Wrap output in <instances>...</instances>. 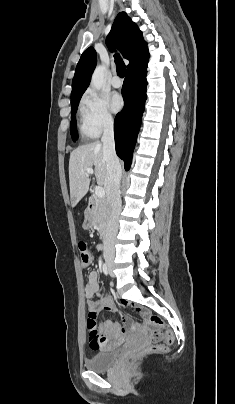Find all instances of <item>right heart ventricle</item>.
<instances>
[{"instance_id": "right-heart-ventricle-1", "label": "right heart ventricle", "mask_w": 235, "mask_h": 404, "mask_svg": "<svg viewBox=\"0 0 235 404\" xmlns=\"http://www.w3.org/2000/svg\"><path fill=\"white\" fill-rule=\"evenodd\" d=\"M79 130L83 137L94 138L96 135L90 129L85 115L81 112Z\"/></svg>"}]
</instances>
